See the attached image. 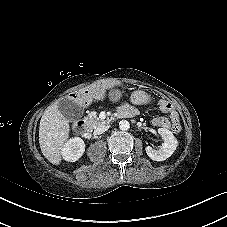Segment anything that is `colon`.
<instances>
[{
    "mask_svg": "<svg viewBox=\"0 0 227 227\" xmlns=\"http://www.w3.org/2000/svg\"><path fill=\"white\" fill-rule=\"evenodd\" d=\"M178 130H179V128H178V127H175V128H174V131H176V132H177Z\"/></svg>",
    "mask_w": 227,
    "mask_h": 227,
    "instance_id": "colon-1",
    "label": "colon"
}]
</instances>
